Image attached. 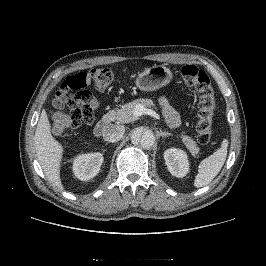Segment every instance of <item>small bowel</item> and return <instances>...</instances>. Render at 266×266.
<instances>
[{"mask_svg": "<svg viewBox=\"0 0 266 266\" xmlns=\"http://www.w3.org/2000/svg\"><path fill=\"white\" fill-rule=\"evenodd\" d=\"M160 106L162 108L167 123L173 127L178 126L180 124L179 116L176 111L171 107L167 98L162 97L160 99Z\"/></svg>", "mask_w": 266, "mask_h": 266, "instance_id": "obj_1", "label": "small bowel"}]
</instances>
